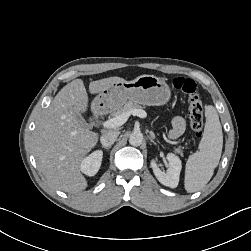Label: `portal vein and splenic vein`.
<instances>
[{
    "mask_svg": "<svg viewBox=\"0 0 251 251\" xmlns=\"http://www.w3.org/2000/svg\"><path fill=\"white\" fill-rule=\"evenodd\" d=\"M130 115L133 116H138L140 118H146L147 117V113L142 110V109H134L131 110L129 112L123 113L121 115H118L116 117H113L105 122H103V127L105 129H114L117 128L119 126H122L129 118Z\"/></svg>",
    "mask_w": 251,
    "mask_h": 251,
    "instance_id": "18ae733b",
    "label": "portal vein and splenic vein"
}]
</instances>
